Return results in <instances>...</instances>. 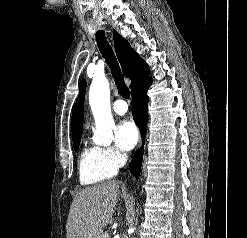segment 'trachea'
<instances>
[{"mask_svg":"<svg viewBox=\"0 0 247 238\" xmlns=\"http://www.w3.org/2000/svg\"><path fill=\"white\" fill-rule=\"evenodd\" d=\"M96 41L102 56L104 57L105 61L107 62L112 72L115 84L117 86L120 95L124 98H129L130 97L129 88L126 86L124 82V77L123 74L121 73L119 63L112 50V47L109 45L105 37L104 31L96 32Z\"/></svg>","mask_w":247,"mask_h":238,"instance_id":"3493384b","label":"trachea"}]
</instances>
